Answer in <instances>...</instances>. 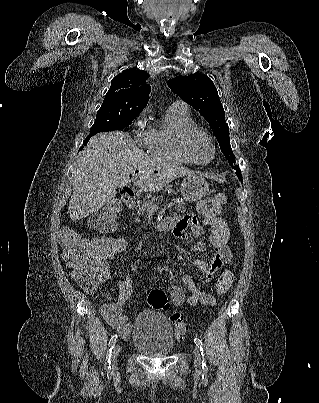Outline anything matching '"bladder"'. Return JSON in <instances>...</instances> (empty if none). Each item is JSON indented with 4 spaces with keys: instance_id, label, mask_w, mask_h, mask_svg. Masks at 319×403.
<instances>
[{
    "instance_id": "obj_1",
    "label": "bladder",
    "mask_w": 319,
    "mask_h": 403,
    "mask_svg": "<svg viewBox=\"0 0 319 403\" xmlns=\"http://www.w3.org/2000/svg\"><path fill=\"white\" fill-rule=\"evenodd\" d=\"M131 345L145 356H168L175 348L172 326L164 314L144 310L133 324Z\"/></svg>"
}]
</instances>
